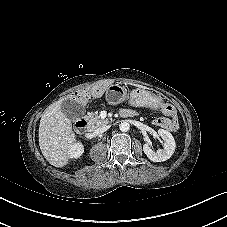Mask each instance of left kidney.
<instances>
[{
	"instance_id": "5707ae66",
	"label": "left kidney",
	"mask_w": 227,
	"mask_h": 227,
	"mask_svg": "<svg viewBox=\"0 0 227 227\" xmlns=\"http://www.w3.org/2000/svg\"><path fill=\"white\" fill-rule=\"evenodd\" d=\"M158 134L164 141L163 149L154 151L148 143L143 145L144 153L153 162H163L168 160L173 155L176 148L175 140L170 132L164 129H159Z\"/></svg>"
}]
</instances>
